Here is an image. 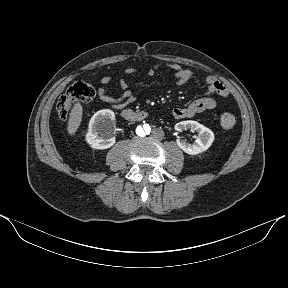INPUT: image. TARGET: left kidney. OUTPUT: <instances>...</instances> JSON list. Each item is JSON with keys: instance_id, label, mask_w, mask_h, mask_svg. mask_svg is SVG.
<instances>
[{"instance_id": "1", "label": "left kidney", "mask_w": 288, "mask_h": 288, "mask_svg": "<svg viewBox=\"0 0 288 288\" xmlns=\"http://www.w3.org/2000/svg\"><path fill=\"white\" fill-rule=\"evenodd\" d=\"M175 130L182 132L184 130H190L191 132H198L199 137L194 143H187L183 138L177 139L178 146L187 154L197 155L206 151L214 141V133L204 125L188 120L181 121L175 125Z\"/></svg>"}]
</instances>
